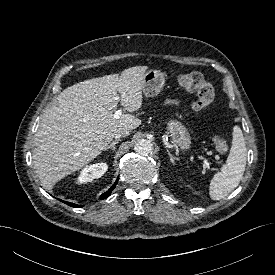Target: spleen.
Wrapping results in <instances>:
<instances>
[{
    "instance_id": "3e777b00",
    "label": "spleen",
    "mask_w": 275,
    "mask_h": 275,
    "mask_svg": "<svg viewBox=\"0 0 275 275\" xmlns=\"http://www.w3.org/2000/svg\"><path fill=\"white\" fill-rule=\"evenodd\" d=\"M247 160V149L242 130L233 128L232 146L226 163L210 182L209 195L212 200H221L229 195L240 183Z\"/></svg>"
}]
</instances>
